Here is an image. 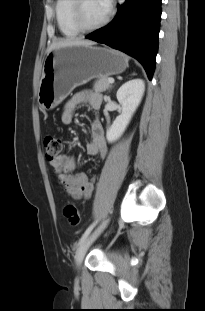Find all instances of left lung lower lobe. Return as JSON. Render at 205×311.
<instances>
[{
  "mask_svg": "<svg viewBox=\"0 0 205 311\" xmlns=\"http://www.w3.org/2000/svg\"><path fill=\"white\" fill-rule=\"evenodd\" d=\"M161 0H125L116 17L86 38L136 58L151 80L158 50Z\"/></svg>",
  "mask_w": 205,
  "mask_h": 311,
  "instance_id": "1",
  "label": "left lung lower lobe"
}]
</instances>
